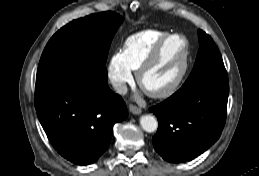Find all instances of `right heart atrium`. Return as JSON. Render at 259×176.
<instances>
[{"instance_id": "right-heart-atrium-1", "label": "right heart atrium", "mask_w": 259, "mask_h": 176, "mask_svg": "<svg viewBox=\"0 0 259 176\" xmlns=\"http://www.w3.org/2000/svg\"><path fill=\"white\" fill-rule=\"evenodd\" d=\"M107 77L114 90L122 94L127 85L133 81L130 68L125 64L121 51L113 53L107 64Z\"/></svg>"}]
</instances>
